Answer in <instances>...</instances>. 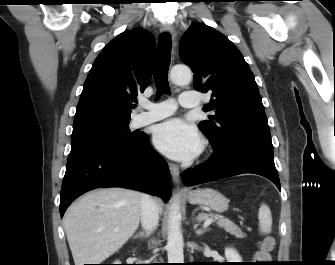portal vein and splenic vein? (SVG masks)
Wrapping results in <instances>:
<instances>
[{"mask_svg": "<svg viewBox=\"0 0 335 265\" xmlns=\"http://www.w3.org/2000/svg\"><path fill=\"white\" fill-rule=\"evenodd\" d=\"M214 221L213 218H207L204 222V227H207L208 225H210L212 222Z\"/></svg>", "mask_w": 335, "mask_h": 265, "instance_id": "portal-vein-and-splenic-vein-1", "label": "portal vein and splenic vein"}]
</instances>
